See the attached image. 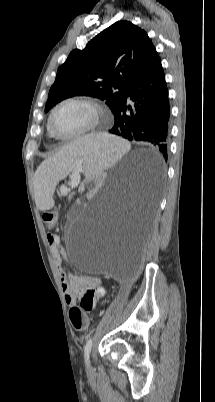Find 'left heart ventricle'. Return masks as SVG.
Masks as SVG:
<instances>
[{
  "instance_id": "b2bd125f",
  "label": "left heart ventricle",
  "mask_w": 215,
  "mask_h": 402,
  "mask_svg": "<svg viewBox=\"0 0 215 402\" xmlns=\"http://www.w3.org/2000/svg\"><path fill=\"white\" fill-rule=\"evenodd\" d=\"M92 120V110L79 103L61 106L53 117V127L61 135H71L85 129Z\"/></svg>"
}]
</instances>
